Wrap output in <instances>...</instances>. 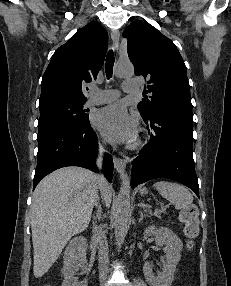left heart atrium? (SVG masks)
I'll return each mask as SVG.
<instances>
[{"label":"left heart atrium","mask_w":231,"mask_h":286,"mask_svg":"<svg viewBox=\"0 0 231 286\" xmlns=\"http://www.w3.org/2000/svg\"><path fill=\"white\" fill-rule=\"evenodd\" d=\"M94 124L101 134L112 143H127L133 141L137 131V123L126 107L115 103L99 110L94 118Z\"/></svg>","instance_id":"left-heart-atrium-1"}]
</instances>
